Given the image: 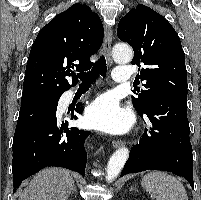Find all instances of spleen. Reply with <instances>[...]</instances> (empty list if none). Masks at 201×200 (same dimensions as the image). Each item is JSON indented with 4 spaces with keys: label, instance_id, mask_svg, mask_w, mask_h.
Here are the masks:
<instances>
[{
    "label": "spleen",
    "instance_id": "3e777b00",
    "mask_svg": "<svg viewBox=\"0 0 201 200\" xmlns=\"http://www.w3.org/2000/svg\"><path fill=\"white\" fill-rule=\"evenodd\" d=\"M141 184L157 200H188L182 183L167 173L151 171L143 177Z\"/></svg>",
    "mask_w": 201,
    "mask_h": 200
}]
</instances>
